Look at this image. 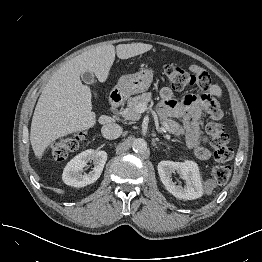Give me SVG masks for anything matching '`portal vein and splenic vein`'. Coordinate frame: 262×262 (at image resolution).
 <instances>
[{
	"mask_svg": "<svg viewBox=\"0 0 262 262\" xmlns=\"http://www.w3.org/2000/svg\"><path fill=\"white\" fill-rule=\"evenodd\" d=\"M136 109H137L138 113H143L147 110V105L144 104V103H140V104L137 105ZM161 124L163 126L161 129L163 131H167L169 134H171V130L169 129L168 125L166 123H161ZM166 138L170 139V135H166Z\"/></svg>",
	"mask_w": 262,
	"mask_h": 262,
	"instance_id": "obj_1",
	"label": "portal vein and splenic vein"
}]
</instances>
